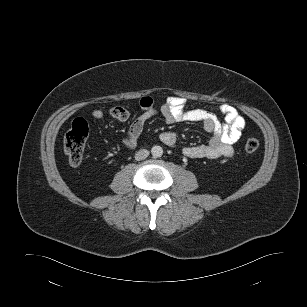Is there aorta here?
Masks as SVG:
<instances>
[{"instance_id": "762f6f07", "label": "aorta", "mask_w": 307, "mask_h": 307, "mask_svg": "<svg viewBox=\"0 0 307 307\" xmlns=\"http://www.w3.org/2000/svg\"><path fill=\"white\" fill-rule=\"evenodd\" d=\"M151 154L153 157L157 158V157H161L163 155V149L161 146H153L151 148Z\"/></svg>"}]
</instances>
